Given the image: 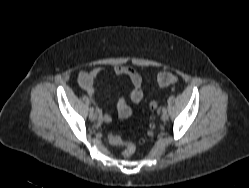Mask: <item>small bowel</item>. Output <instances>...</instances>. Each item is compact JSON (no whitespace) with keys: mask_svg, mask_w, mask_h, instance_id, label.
I'll return each mask as SVG.
<instances>
[{"mask_svg":"<svg viewBox=\"0 0 249 188\" xmlns=\"http://www.w3.org/2000/svg\"><path fill=\"white\" fill-rule=\"evenodd\" d=\"M103 72L104 69L102 68H95L88 72H82L79 76L78 82L81 88H83L88 93L93 102L96 104L99 121L108 123L112 120V116L109 113L103 112L100 101L97 99L96 89L94 86L97 77ZM113 72L117 76H126L129 78L132 83V89L129 93V97L134 104L137 105L141 103L143 99V80L141 75L129 66H116L114 67ZM117 110L119 116L123 119L130 117L132 114L131 107L127 104L123 97L118 98Z\"/></svg>","mask_w":249,"mask_h":188,"instance_id":"1","label":"small bowel"}]
</instances>
